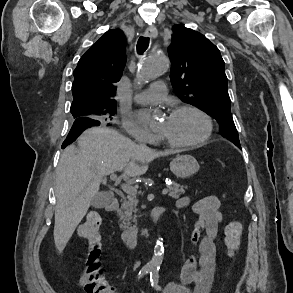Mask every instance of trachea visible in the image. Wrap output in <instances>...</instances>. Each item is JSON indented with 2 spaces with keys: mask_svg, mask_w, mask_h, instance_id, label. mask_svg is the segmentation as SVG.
Returning a JSON list of instances; mask_svg holds the SVG:
<instances>
[{
  "mask_svg": "<svg viewBox=\"0 0 293 293\" xmlns=\"http://www.w3.org/2000/svg\"><path fill=\"white\" fill-rule=\"evenodd\" d=\"M149 46V37L141 36L137 42V53L142 54Z\"/></svg>",
  "mask_w": 293,
  "mask_h": 293,
  "instance_id": "1",
  "label": "trachea"
}]
</instances>
